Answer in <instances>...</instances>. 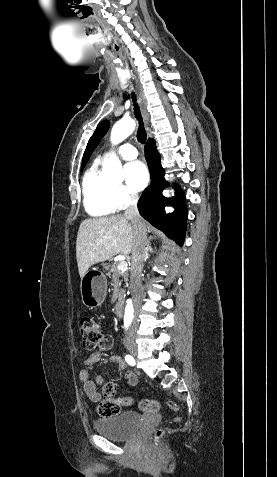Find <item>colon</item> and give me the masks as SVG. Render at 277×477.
I'll return each instance as SVG.
<instances>
[{
  "instance_id": "obj_1",
  "label": "colon",
  "mask_w": 277,
  "mask_h": 477,
  "mask_svg": "<svg viewBox=\"0 0 277 477\" xmlns=\"http://www.w3.org/2000/svg\"><path fill=\"white\" fill-rule=\"evenodd\" d=\"M80 332L82 336V345L86 351H93L98 346L102 339V330L96 320L90 316L83 317L80 321ZM117 391L116 385L109 383L104 387V393L108 398L99 406V412L101 415L110 416L118 414L121 411L123 405V399L114 397ZM140 408L145 412H157L160 408V404L157 400L142 399L139 402ZM171 409L178 410L176 404L170 405ZM163 435L162 430H157L154 434V440L158 441Z\"/></svg>"
}]
</instances>
